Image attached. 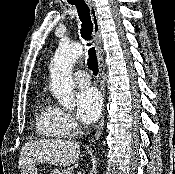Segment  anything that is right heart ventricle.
<instances>
[{
	"label": "right heart ventricle",
	"mask_w": 175,
	"mask_h": 174,
	"mask_svg": "<svg viewBox=\"0 0 175 174\" xmlns=\"http://www.w3.org/2000/svg\"><path fill=\"white\" fill-rule=\"evenodd\" d=\"M35 120L40 136L48 139H62L66 136L59 123L58 109L46 99L38 102Z\"/></svg>",
	"instance_id": "e07e8e85"
}]
</instances>
